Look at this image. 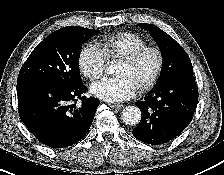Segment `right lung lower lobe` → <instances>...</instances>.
<instances>
[{
    "instance_id": "1",
    "label": "right lung lower lobe",
    "mask_w": 224,
    "mask_h": 175,
    "mask_svg": "<svg viewBox=\"0 0 224 175\" xmlns=\"http://www.w3.org/2000/svg\"><path fill=\"white\" fill-rule=\"evenodd\" d=\"M86 90L82 83L65 86L39 79L19 80V116L42 144L68 147L87 134L100 103L83 96ZM78 98L81 104H76Z\"/></svg>"
}]
</instances>
